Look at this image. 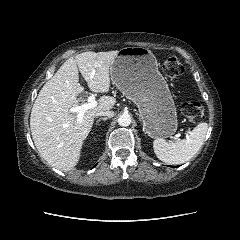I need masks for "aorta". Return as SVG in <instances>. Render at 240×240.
Wrapping results in <instances>:
<instances>
[{
    "label": "aorta",
    "mask_w": 240,
    "mask_h": 240,
    "mask_svg": "<svg viewBox=\"0 0 240 240\" xmlns=\"http://www.w3.org/2000/svg\"><path fill=\"white\" fill-rule=\"evenodd\" d=\"M131 122H132V119L129 114H122L118 118V124L123 127L129 126L131 124Z\"/></svg>",
    "instance_id": "1"
}]
</instances>
